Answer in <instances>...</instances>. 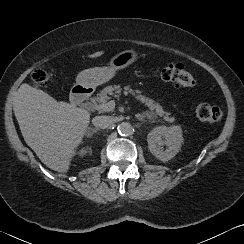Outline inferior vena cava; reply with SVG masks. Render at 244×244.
<instances>
[{
  "mask_svg": "<svg viewBox=\"0 0 244 244\" xmlns=\"http://www.w3.org/2000/svg\"><path fill=\"white\" fill-rule=\"evenodd\" d=\"M92 123L97 128L106 129L113 124V120L110 116H96L92 119Z\"/></svg>",
  "mask_w": 244,
  "mask_h": 244,
  "instance_id": "1",
  "label": "inferior vena cava"
}]
</instances>
